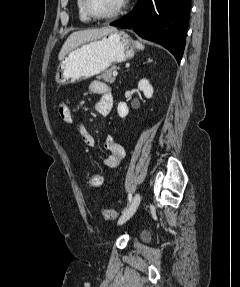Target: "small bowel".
<instances>
[{
	"instance_id": "obj_1",
	"label": "small bowel",
	"mask_w": 240,
	"mask_h": 287,
	"mask_svg": "<svg viewBox=\"0 0 240 287\" xmlns=\"http://www.w3.org/2000/svg\"><path fill=\"white\" fill-rule=\"evenodd\" d=\"M90 92L99 96V101L95 104L94 108L97 113L102 116H106L112 109L113 97L111 88L109 85L102 81H93L89 86ZM59 116L63 121L68 124H75L81 136L83 142L93 147L95 140L85 125L74 117L71 108L65 102H61L58 106ZM104 149L108 152V155L103 159V165L107 168H116L121 160L125 157L124 148L118 144L111 136H108L104 141Z\"/></svg>"
}]
</instances>
